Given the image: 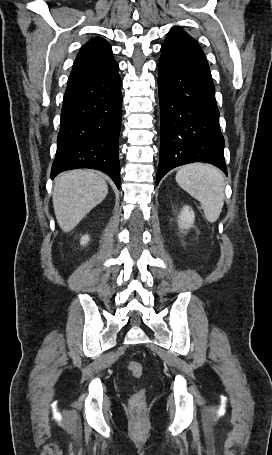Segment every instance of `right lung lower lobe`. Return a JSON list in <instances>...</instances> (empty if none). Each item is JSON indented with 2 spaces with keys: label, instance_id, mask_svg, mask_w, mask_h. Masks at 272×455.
I'll use <instances>...</instances> for the list:
<instances>
[{
  "label": "right lung lower lobe",
  "instance_id": "1",
  "mask_svg": "<svg viewBox=\"0 0 272 455\" xmlns=\"http://www.w3.org/2000/svg\"><path fill=\"white\" fill-rule=\"evenodd\" d=\"M120 87L115 71L66 88L52 179L65 170L92 168L107 173L120 188Z\"/></svg>",
  "mask_w": 272,
  "mask_h": 455
}]
</instances>
